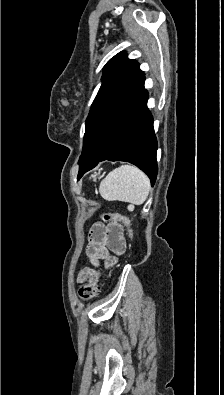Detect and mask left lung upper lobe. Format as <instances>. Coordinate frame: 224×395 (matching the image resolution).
<instances>
[{
  "label": "left lung upper lobe",
  "mask_w": 224,
  "mask_h": 395,
  "mask_svg": "<svg viewBox=\"0 0 224 395\" xmlns=\"http://www.w3.org/2000/svg\"><path fill=\"white\" fill-rule=\"evenodd\" d=\"M141 72L139 64L135 60L128 59L124 52L118 53L107 62L103 70L102 85L85 122L84 146L98 112Z\"/></svg>",
  "instance_id": "1"
}]
</instances>
